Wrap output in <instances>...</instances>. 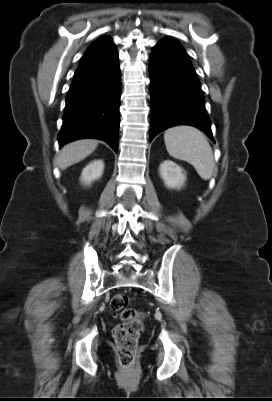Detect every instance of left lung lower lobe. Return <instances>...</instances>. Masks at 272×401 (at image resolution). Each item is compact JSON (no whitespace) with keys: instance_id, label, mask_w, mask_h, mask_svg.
Instances as JSON below:
<instances>
[{"instance_id":"0a47b994","label":"left lung lower lobe","mask_w":272,"mask_h":401,"mask_svg":"<svg viewBox=\"0 0 272 401\" xmlns=\"http://www.w3.org/2000/svg\"><path fill=\"white\" fill-rule=\"evenodd\" d=\"M149 73L152 109L150 141L167 128L190 125L202 130L215 143L201 84L178 41L164 38L154 46Z\"/></svg>"}]
</instances>
